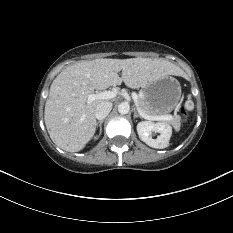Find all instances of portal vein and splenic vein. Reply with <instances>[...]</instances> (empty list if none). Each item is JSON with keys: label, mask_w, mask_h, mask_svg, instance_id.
I'll use <instances>...</instances> for the list:
<instances>
[{"label": "portal vein and splenic vein", "mask_w": 233, "mask_h": 233, "mask_svg": "<svg viewBox=\"0 0 233 233\" xmlns=\"http://www.w3.org/2000/svg\"><path fill=\"white\" fill-rule=\"evenodd\" d=\"M117 93L114 91H103L99 93H92L86 96L87 102L91 103L95 100H109L114 97H116ZM132 98L135 103V107L138 110V112L143 116V118L148 119V120H153V121H171L173 119L172 115H154L150 116L141 111L139 108L137 102H138V95L136 93H132Z\"/></svg>", "instance_id": "18ae733b"}]
</instances>
